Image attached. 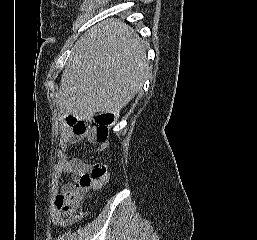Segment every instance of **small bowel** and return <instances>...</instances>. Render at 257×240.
I'll list each match as a JSON object with an SVG mask.
<instances>
[{"label":"small bowel","instance_id":"c3829d8e","mask_svg":"<svg viewBox=\"0 0 257 240\" xmlns=\"http://www.w3.org/2000/svg\"><path fill=\"white\" fill-rule=\"evenodd\" d=\"M83 139L90 143H99L96 149L97 153L102 152L109 145L107 141L97 140L92 129H88L82 135H76L68 128H63L59 140L57 163L53 170V188L60 194L72 191L79 177L91 169L88 163L70 154L72 146ZM51 221L56 227L66 226L64 215L56 203L51 208Z\"/></svg>","mask_w":257,"mask_h":240}]
</instances>
